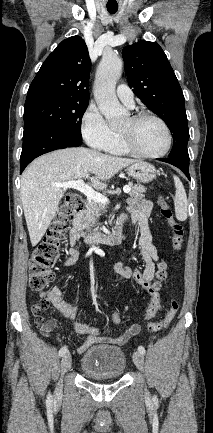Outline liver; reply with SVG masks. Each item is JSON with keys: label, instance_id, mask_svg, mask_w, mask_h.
Wrapping results in <instances>:
<instances>
[{"label": "liver", "instance_id": "1", "mask_svg": "<svg viewBox=\"0 0 213 433\" xmlns=\"http://www.w3.org/2000/svg\"><path fill=\"white\" fill-rule=\"evenodd\" d=\"M136 162L84 147L60 149L35 159L23 172L20 189L32 246L44 236L64 195V189L54 183L90 179L94 188L103 190L110 178Z\"/></svg>", "mask_w": 213, "mask_h": 433}]
</instances>
